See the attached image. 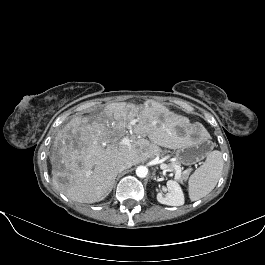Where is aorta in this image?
<instances>
[{"mask_svg": "<svg viewBox=\"0 0 265 265\" xmlns=\"http://www.w3.org/2000/svg\"><path fill=\"white\" fill-rule=\"evenodd\" d=\"M148 174V168L146 166H138L136 168V175L140 178H145Z\"/></svg>", "mask_w": 265, "mask_h": 265, "instance_id": "obj_1", "label": "aorta"}]
</instances>
